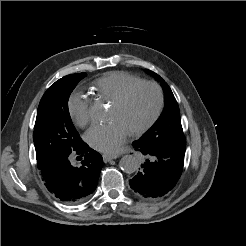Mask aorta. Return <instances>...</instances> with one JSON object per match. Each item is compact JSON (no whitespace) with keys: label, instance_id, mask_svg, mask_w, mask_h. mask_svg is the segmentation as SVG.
I'll list each match as a JSON object with an SVG mask.
<instances>
[{"label":"aorta","instance_id":"aorta-1","mask_svg":"<svg viewBox=\"0 0 246 246\" xmlns=\"http://www.w3.org/2000/svg\"><path fill=\"white\" fill-rule=\"evenodd\" d=\"M90 112L98 120L105 117L104 107L100 104H94ZM119 166L125 173H134L139 167V160L133 155H125L121 158Z\"/></svg>","mask_w":246,"mask_h":246}]
</instances>
